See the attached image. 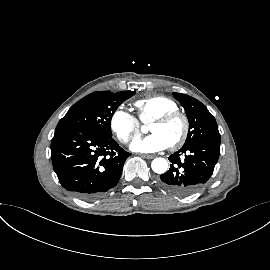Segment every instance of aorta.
<instances>
[{
	"label": "aorta",
	"instance_id": "762f6f07",
	"mask_svg": "<svg viewBox=\"0 0 270 270\" xmlns=\"http://www.w3.org/2000/svg\"><path fill=\"white\" fill-rule=\"evenodd\" d=\"M151 167L155 173L163 174L168 169V162L164 158H155L152 161Z\"/></svg>",
	"mask_w": 270,
	"mask_h": 270
}]
</instances>
